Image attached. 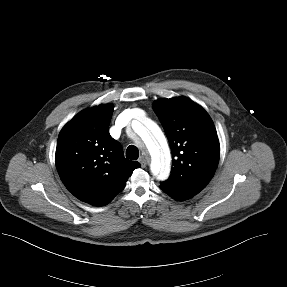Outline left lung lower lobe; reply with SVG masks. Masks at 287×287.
I'll return each instance as SVG.
<instances>
[{"mask_svg": "<svg viewBox=\"0 0 287 287\" xmlns=\"http://www.w3.org/2000/svg\"><path fill=\"white\" fill-rule=\"evenodd\" d=\"M160 188H161L166 194H168L169 196H171V197H172L173 199H175V200H178V201H183V200H185V199L180 198V197H178L177 195L171 193L170 191L166 190L165 188H163V187H161V186H160Z\"/></svg>", "mask_w": 287, "mask_h": 287, "instance_id": "1", "label": "left lung lower lobe"}]
</instances>
